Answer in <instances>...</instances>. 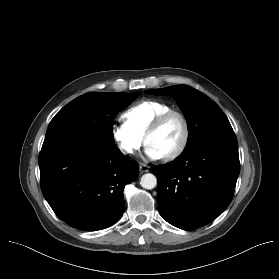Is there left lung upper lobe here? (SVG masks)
I'll return each instance as SVG.
<instances>
[{
	"mask_svg": "<svg viewBox=\"0 0 279 279\" xmlns=\"http://www.w3.org/2000/svg\"><path fill=\"white\" fill-rule=\"evenodd\" d=\"M146 93L161 96L170 94L177 100L189 130L185 149L208 138L235 136L229 120L220 107L208 96L190 86H170L147 90Z\"/></svg>",
	"mask_w": 279,
	"mask_h": 279,
	"instance_id": "left-lung-upper-lobe-1",
	"label": "left lung upper lobe"
}]
</instances>
